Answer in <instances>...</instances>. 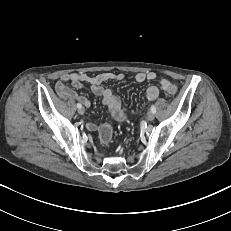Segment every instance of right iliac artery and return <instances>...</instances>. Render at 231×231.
Instances as JSON below:
<instances>
[{"instance_id":"right-iliac-artery-1","label":"right iliac artery","mask_w":231,"mask_h":231,"mask_svg":"<svg viewBox=\"0 0 231 231\" xmlns=\"http://www.w3.org/2000/svg\"><path fill=\"white\" fill-rule=\"evenodd\" d=\"M77 107H78V108H81L82 105H81L80 103H77Z\"/></svg>"}]
</instances>
